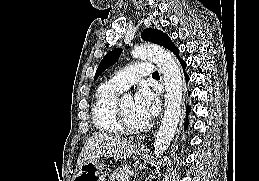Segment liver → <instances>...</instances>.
<instances>
[{"instance_id":"6515ba94","label":"liver","mask_w":259,"mask_h":181,"mask_svg":"<svg viewBox=\"0 0 259 181\" xmlns=\"http://www.w3.org/2000/svg\"><path fill=\"white\" fill-rule=\"evenodd\" d=\"M136 145L118 135L98 133L90 137L78 157L77 168L99 157L126 159L133 155Z\"/></svg>"}]
</instances>
